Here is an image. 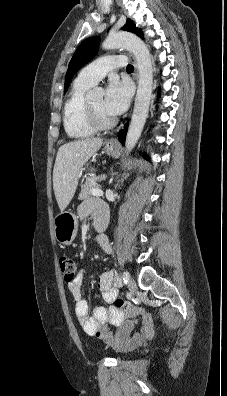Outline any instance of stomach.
<instances>
[{
	"mask_svg": "<svg viewBox=\"0 0 227 396\" xmlns=\"http://www.w3.org/2000/svg\"><path fill=\"white\" fill-rule=\"evenodd\" d=\"M105 152L108 155L118 157L119 148L115 145L105 144ZM54 233L56 240L64 245H69L73 242L77 235L78 220L72 212H61L54 219Z\"/></svg>",
	"mask_w": 227,
	"mask_h": 396,
	"instance_id": "1",
	"label": "stomach"
}]
</instances>
